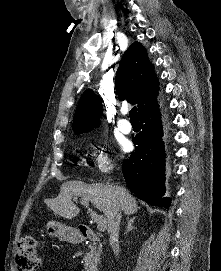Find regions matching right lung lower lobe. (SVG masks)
Here are the masks:
<instances>
[{
	"instance_id": "1",
	"label": "right lung lower lobe",
	"mask_w": 221,
	"mask_h": 271,
	"mask_svg": "<svg viewBox=\"0 0 221 271\" xmlns=\"http://www.w3.org/2000/svg\"><path fill=\"white\" fill-rule=\"evenodd\" d=\"M142 131L133 139L135 147L123 164L128 187L141 199L162 207H169L171 199L162 197L164 188V144L159 109L140 115Z\"/></svg>"
}]
</instances>
